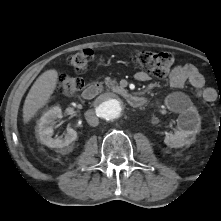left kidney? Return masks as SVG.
Wrapping results in <instances>:
<instances>
[{"label":"left kidney","mask_w":221,"mask_h":221,"mask_svg":"<svg viewBox=\"0 0 221 221\" xmlns=\"http://www.w3.org/2000/svg\"><path fill=\"white\" fill-rule=\"evenodd\" d=\"M165 104L170 111L179 113V117L174 134L168 133L164 143L171 148H180L190 144L201 127L197 109L189 97L181 92L169 94L165 99Z\"/></svg>","instance_id":"5707ae66"}]
</instances>
